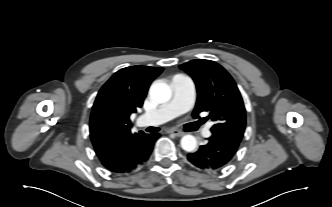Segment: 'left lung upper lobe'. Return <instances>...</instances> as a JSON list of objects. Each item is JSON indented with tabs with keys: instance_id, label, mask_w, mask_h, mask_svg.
Masks as SVG:
<instances>
[{
	"instance_id": "obj_1",
	"label": "left lung upper lobe",
	"mask_w": 332,
	"mask_h": 207,
	"mask_svg": "<svg viewBox=\"0 0 332 207\" xmlns=\"http://www.w3.org/2000/svg\"><path fill=\"white\" fill-rule=\"evenodd\" d=\"M179 67L196 84L198 96L192 116L199 118L200 112H208L214 121L212 134L240 143L246 125L245 107L230 74L210 60H192Z\"/></svg>"
}]
</instances>
